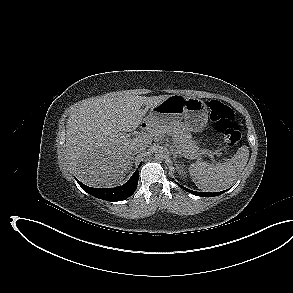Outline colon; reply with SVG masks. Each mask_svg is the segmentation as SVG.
Here are the masks:
<instances>
[{"mask_svg":"<svg viewBox=\"0 0 293 293\" xmlns=\"http://www.w3.org/2000/svg\"><path fill=\"white\" fill-rule=\"evenodd\" d=\"M211 120L216 129L223 136V140L228 147H234L241 138L239 124L235 118L234 111L218 100L209 102Z\"/></svg>","mask_w":293,"mask_h":293,"instance_id":"colon-1","label":"colon"}]
</instances>
